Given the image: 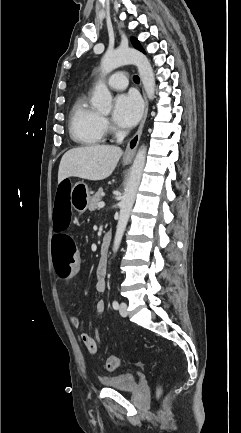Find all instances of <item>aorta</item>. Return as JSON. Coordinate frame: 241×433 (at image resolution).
<instances>
[{"label":"aorta","instance_id":"762f6f07","mask_svg":"<svg viewBox=\"0 0 241 433\" xmlns=\"http://www.w3.org/2000/svg\"><path fill=\"white\" fill-rule=\"evenodd\" d=\"M125 64H134L137 66L145 92L148 98L152 100L155 95V77L152 66L143 53L131 48H121L109 51L105 53L101 61L102 73L103 75H106ZM91 103L101 112H110L112 107V95L105 84L99 83L96 85ZM145 160L146 147L142 145L134 159L124 195L120 202V215L113 244L114 253L119 249L125 232L135 202L138 187L140 185Z\"/></svg>","mask_w":241,"mask_h":433}]
</instances>
